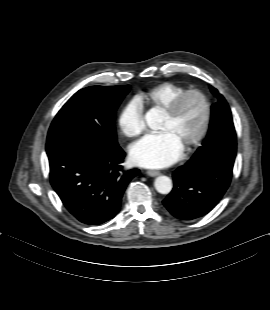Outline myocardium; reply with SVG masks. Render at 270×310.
Listing matches in <instances>:
<instances>
[{
  "instance_id": "obj_1",
  "label": "myocardium",
  "mask_w": 270,
  "mask_h": 310,
  "mask_svg": "<svg viewBox=\"0 0 270 310\" xmlns=\"http://www.w3.org/2000/svg\"><path fill=\"white\" fill-rule=\"evenodd\" d=\"M188 96H197L200 98L203 107H204V117H203V122H202V126L200 131L198 132V134L194 137V139L189 143V145L187 147H185L183 149V151L185 153H189L191 151H193L201 142L202 140L205 138L209 126H210V121H211V113H212V109H211V103L207 97V95L199 90V89H187L184 90L183 92H181L180 94H178L168 105V107L163 110V115L167 118V119H174L180 109L181 106L183 104V101L185 100V98H187Z\"/></svg>"
}]
</instances>
